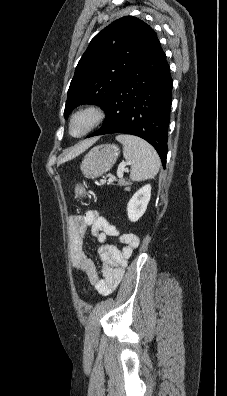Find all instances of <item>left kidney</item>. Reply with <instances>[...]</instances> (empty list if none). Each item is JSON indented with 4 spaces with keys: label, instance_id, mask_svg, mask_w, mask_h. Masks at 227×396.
<instances>
[{
    "label": "left kidney",
    "instance_id": "1",
    "mask_svg": "<svg viewBox=\"0 0 227 396\" xmlns=\"http://www.w3.org/2000/svg\"><path fill=\"white\" fill-rule=\"evenodd\" d=\"M151 197V186L147 184L140 188L127 204L128 218L132 222L138 221L147 209Z\"/></svg>",
    "mask_w": 227,
    "mask_h": 396
}]
</instances>
